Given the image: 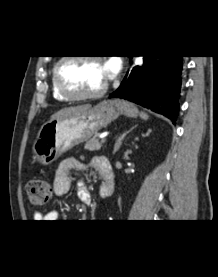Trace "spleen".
<instances>
[{"mask_svg": "<svg viewBox=\"0 0 218 277\" xmlns=\"http://www.w3.org/2000/svg\"><path fill=\"white\" fill-rule=\"evenodd\" d=\"M140 117L142 118V119H144V120H147L148 118H149V116L146 114V113H144V112H140Z\"/></svg>", "mask_w": 218, "mask_h": 277, "instance_id": "1", "label": "spleen"}]
</instances>
